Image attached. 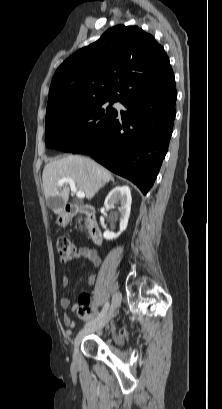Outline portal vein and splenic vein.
Instances as JSON below:
<instances>
[{
	"mask_svg": "<svg viewBox=\"0 0 222 409\" xmlns=\"http://www.w3.org/2000/svg\"><path fill=\"white\" fill-rule=\"evenodd\" d=\"M64 183H68L70 185L71 191L73 193H76V196L78 198H84L85 197V193L83 191H77L76 189V185L73 179L71 178H62L59 180L58 185L61 187Z\"/></svg>",
	"mask_w": 222,
	"mask_h": 409,
	"instance_id": "obj_1",
	"label": "portal vein and splenic vein"
}]
</instances>
